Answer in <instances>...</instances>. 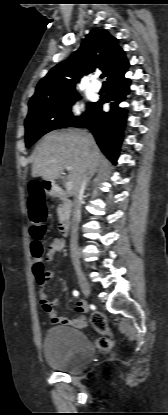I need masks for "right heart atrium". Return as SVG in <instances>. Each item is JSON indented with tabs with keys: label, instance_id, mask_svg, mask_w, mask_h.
<instances>
[{
	"label": "right heart atrium",
	"instance_id": "obj_1",
	"mask_svg": "<svg viewBox=\"0 0 168 415\" xmlns=\"http://www.w3.org/2000/svg\"><path fill=\"white\" fill-rule=\"evenodd\" d=\"M85 113V106L80 102L72 103L68 108V116L71 119H79Z\"/></svg>",
	"mask_w": 168,
	"mask_h": 415
}]
</instances>
